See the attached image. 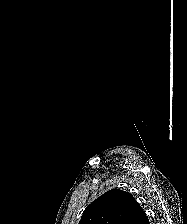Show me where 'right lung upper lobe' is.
Wrapping results in <instances>:
<instances>
[{
  "label": "right lung upper lobe",
  "mask_w": 187,
  "mask_h": 224,
  "mask_svg": "<svg viewBox=\"0 0 187 224\" xmlns=\"http://www.w3.org/2000/svg\"><path fill=\"white\" fill-rule=\"evenodd\" d=\"M79 224H149V220L130 193L112 189L86 207Z\"/></svg>",
  "instance_id": "1"
}]
</instances>
